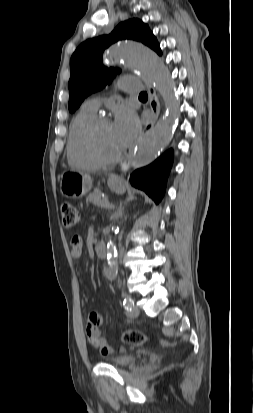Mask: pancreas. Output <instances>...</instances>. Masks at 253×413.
I'll return each mask as SVG.
<instances>
[{"label": "pancreas", "mask_w": 253, "mask_h": 413, "mask_svg": "<svg viewBox=\"0 0 253 413\" xmlns=\"http://www.w3.org/2000/svg\"><path fill=\"white\" fill-rule=\"evenodd\" d=\"M86 200L87 202H91L94 205L101 206L102 203L108 201V198L104 196V194L100 190H95L94 192L88 195Z\"/></svg>", "instance_id": "pancreas-1"}]
</instances>
